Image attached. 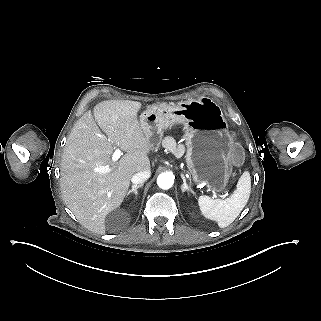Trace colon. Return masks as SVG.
Listing matches in <instances>:
<instances>
[{
	"instance_id": "colon-1",
	"label": "colon",
	"mask_w": 321,
	"mask_h": 321,
	"mask_svg": "<svg viewBox=\"0 0 321 321\" xmlns=\"http://www.w3.org/2000/svg\"><path fill=\"white\" fill-rule=\"evenodd\" d=\"M232 153H233V155H237L238 154L234 147L232 148Z\"/></svg>"
}]
</instances>
